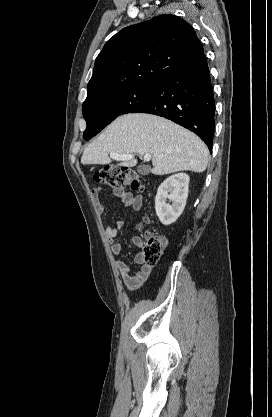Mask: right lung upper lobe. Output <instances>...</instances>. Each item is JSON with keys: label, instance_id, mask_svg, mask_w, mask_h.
Here are the masks:
<instances>
[{"label": "right lung upper lobe", "instance_id": "right-lung-upper-lobe-1", "mask_svg": "<svg viewBox=\"0 0 272 417\" xmlns=\"http://www.w3.org/2000/svg\"><path fill=\"white\" fill-rule=\"evenodd\" d=\"M203 52L192 26L175 15L126 27L97 56L84 103L122 89L160 84Z\"/></svg>", "mask_w": 272, "mask_h": 417}]
</instances>
